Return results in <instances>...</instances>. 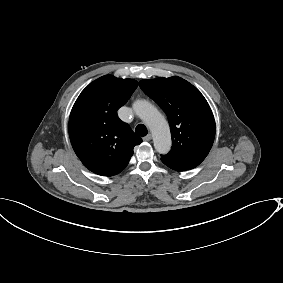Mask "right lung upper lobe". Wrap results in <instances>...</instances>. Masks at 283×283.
<instances>
[{"label":"right lung upper lobe","mask_w":283,"mask_h":283,"mask_svg":"<svg viewBox=\"0 0 283 283\" xmlns=\"http://www.w3.org/2000/svg\"><path fill=\"white\" fill-rule=\"evenodd\" d=\"M132 79L102 76L77 98L69 119V136L76 155L101 176L120 173L129 163L133 148L142 142L117 116L137 88Z\"/></svg>","instance_id":"cb5924a9"}]
</instances>
